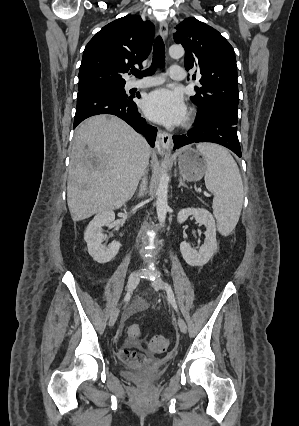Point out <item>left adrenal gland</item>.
<instances>
[{
    "label": "left adrenal gland",
    "instance_id": "obj_1",
    "mask_svg": "<svg viewBox=\"0 0 299 426\" xmlns=\"http://www.w3.org/2000/svg\"><path fill=\"white\" fill-rule=\"evenodd\" d=\"M178 187L188 188V186L183 182L182 178H179V185H178Z\"/></svg>",
    "mask_w": 299,
    "mask_h": 426
}]
</instances>
